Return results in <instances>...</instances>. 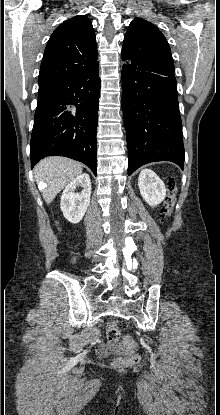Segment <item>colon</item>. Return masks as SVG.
I'll use <instances>...</instances> for the list:
<instances>
[{"mask_svg":"<svg viewBox=\"0 0 220 415\" xmlns=\"http://www.w3.org/2000/svg\"><path fill=\"white\" fill-rule=\"evenodd\" d=\"M167 197L164 203L163 215L166 217L170 215L174 203H175V195H176V183L174 179L170 178L167 182ZM107 335L108 338L113 341L117 342L120 339V332L117 327V324L114 320H110L107 324ZM138 361L137 356L130 355L126 357H121L116 359L115 366L122 368V367H129L134 365Z\"/></svg>","mask_w":220,"mask_h":415,"instance_id":"1","label":"colon"}]
</instances>
